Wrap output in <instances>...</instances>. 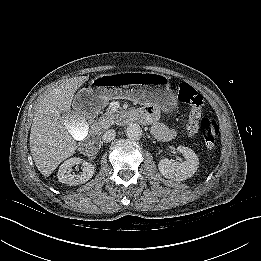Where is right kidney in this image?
<instances>
[{
  "label": "right kidney",
  "instance_id": "obj_1",
  "mask_svg": "<svg viewBox=\"0 0 261 261\" xmlns=\"http://www.w3.org/2000/svg\"><path fill=\"white\" fill-rule=\"evenodd\" d=\"M85 133L81 134V138L85 137ZM83 163L82 172L79 174L71 173V168L75 165ZM95 172V167L89 162H83L79 157H73L66 160L63 164L60 165L58 170V180L61 183L68 184L70 186H75L83 184L90 180Z\"/></svg>",
  "mask_w": 261,
  "mask_h": 261
}]
</instances>
